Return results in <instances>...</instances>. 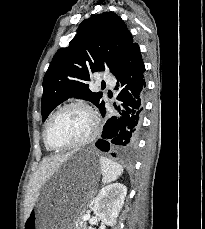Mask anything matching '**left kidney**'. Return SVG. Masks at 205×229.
Segmentation results:
<instances>
[{
	"label": "left kidney",
	"mask_w": 205,
	"mask_h": 229,
	"mask_svg": "<svg viewBox=\"0 0 205 229\" xmlns=\"http://www.w3.org/2000/svg\"><path fill=\"white\" fill-rule=\"evenodd\" d=\"M127 194V188L121 183L103 187L94 202V214L102 223L113 226Z\"/></svg>",
	"instance_id": "1"
}]
</instances>
